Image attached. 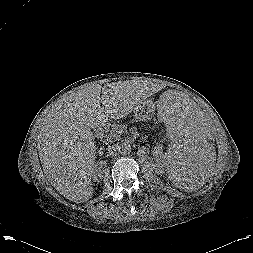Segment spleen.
<instances>
[{
  "label": "spleen",
  "instance_id": "obj_1",
  "mask_svg": "<svg viewBox=\"0 0 253 253\" xmlns=\"http://www.w3.org/2000/svg\"><path fill=\"white\" fill-rule=\"evenodd\" d=\"M156 112L173 141L164 157L172 179L180 188L198 189L213 169L216 130L211 117L177 91L162 94Z\"/></svg>",
  "mask_w": 253,
  "mask_h": 253
}]
</instances>
